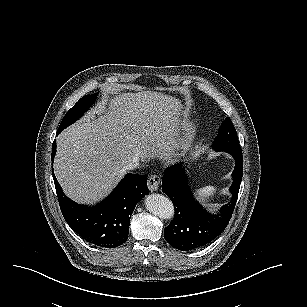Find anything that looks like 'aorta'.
Wrapping results in <instances>:
<instances>
[{
  "label": "aorta",
  "mask_w": 307,
  "mask_h": 307,
  "mask_svg": "<svg viewBox=\"0 0 307 307\" xmlns=\"http://www.w3.org/2000/svg\"><path fill=\"white\" fill-rule=\"evenodd\" d=\"M145 208L151 214L160 218H171L174 213V207L170 199L162 194L150 193L144 199Z\"/></svg>",
  "instance_id": "obj_1"
}]
</instances>
